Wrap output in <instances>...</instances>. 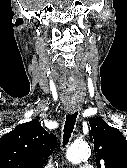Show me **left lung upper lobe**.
I'll use <instances>...</instances> for the list:
<instances>
[{
	"mask_svg": "<svg viewBox=\"0 0 127 168\" xmlns=\"http://www.w3.org/2000/svg\"><path fill=\"white\" fill-rule=\"evenodd\" d=\"M89 125L97 168H127V140L122 133L100 117L90 119Z\"/></svg>",
	"mask_w": 127,
	"mask_h": 168,
	"instance_id": "left-lung-upper-lobe-1",
	"label": "left lung upper lobe"
}]
</instances>
